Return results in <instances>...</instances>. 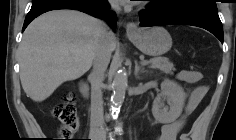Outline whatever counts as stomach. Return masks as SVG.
Returning <instances> with one entry per match:
<instances>
[{
  "label": "stomach",
  "mask_w": 236,
  "mask_h": 140,
  "mask_svg": "<svg viewBox=\"0 0 236 140\" xmlns=\"http://www.w3.org/2000/svg\"><path fill=\"white\" fill-rule=\"evenodd\" d=\"M128 38L144 54L160 56L170 50L172 38L162 27L138 29L134 34H128Z\"/></svg>",
  "instance_id": "obj_1"
}]
</instances>
